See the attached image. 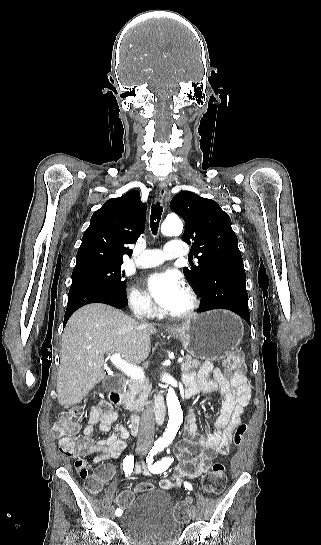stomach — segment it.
<instances>
[{
    "mask_svg": "<svg viewBox=\"0 0 321 545\" xmlns=\"http://www.w3.org/2000/svg\"><path fill=\"white\" fill-rule=\"evenodd\" d=\"M167 331L181 341L189 355L209 361L225 359L242 343L244 335L240 317L230 311L200 313Z\"/></svg>",
    "mask_w": 321,
    "mask_h": 545,
    "instance_id": "1",
    "label": "stomach"
}]
</instances>
